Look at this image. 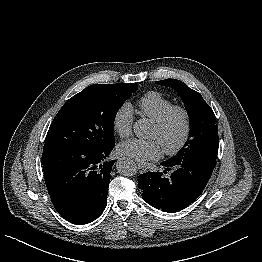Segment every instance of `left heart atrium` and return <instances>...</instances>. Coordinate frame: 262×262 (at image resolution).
Wrapping results in <instances>:
<instances>
[{
  "label": "left heart atrium",
  "instance_id": "1",
  "mask_svg": "<svg viewBox=\"0 0 262 262\" xmlns=\"http://www.w3.org/2000/svg\"><path fill=\"white\" fill-rule=\"evenodd\" d=\"M118 151L121 155L145 162L160 158L164 149L156 138L149 140L132 138L121 142Z\"/></svg>",
  "mask_w": 262,
  "mask_h": 262
}]
</instances>
